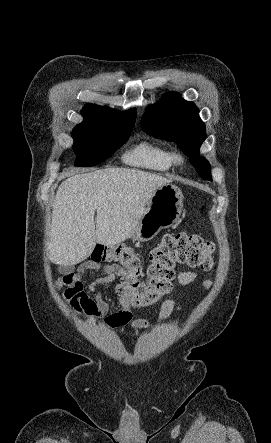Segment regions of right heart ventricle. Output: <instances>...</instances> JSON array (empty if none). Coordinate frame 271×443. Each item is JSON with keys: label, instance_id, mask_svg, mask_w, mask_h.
<instances>
[{"label": "right heart ventricle", "instance_id": "1", "mask_svg": "<svg viewBox=\"0 0 271 443\" xmlns=\"http://www.w3.org/2000/svg\"><path fill=\"white\" fill-rule=\"evenodd\" d=\"M127 164L156 172H169L175 167L173 150L166 143L141 139L123 155Z\"/></svg>", "mask_w": 271, "mask_h": 443}]
</instances>
